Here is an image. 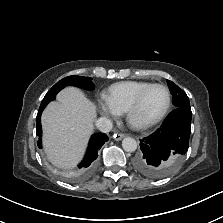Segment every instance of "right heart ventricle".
<instances>
[{
  "instance_id": "1",
  "label": "right heart ventricle",
  "mask_w": 223,
  "mask_h": 223,
  "mask_svg": "<svg viewBox=\"0 0 223 223\" xmlns=\"http://www.w3.org/2000/svg\"><path fill=\"white\" fill-rule=\"evenodd\" d=\"M152 83L146 81H122L111 85L106 92V99L119 112L123 113L135 97Z\"/></svg>"
}]
</instances>
